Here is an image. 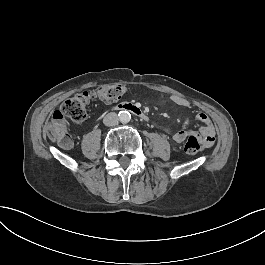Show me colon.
I'll return each mask as SVG.
<instances>
[{
  "instance_id": "5ec220e1",
  "label": "colon",
  "mask_w": 265,
  "mask_h": 265,
  "mask_svg": "<svg viewBox=\"0 0 265 265\" xmlns=\"http://www.w3.org/2000/svg\"><path fill=\"white\" fill-rule=\"evenodd\" d=\"M124 92L125 86L122 84L102 85L95 90L84 91L66 99L47 123L45 129L46 138L57 142L61 148H70L72 146V137L68 132L66 118L81 123L87 117V107L92 99L112 103L118 100ZM187 142L183 146L186 152H191L194 155L201 148L199 139L196 136H190Z\"/></svg>"
}]
</instances>
